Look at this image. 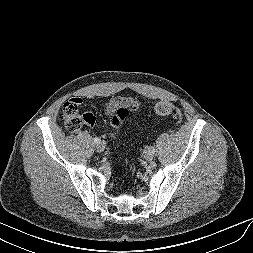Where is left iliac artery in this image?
Segmentation results:
<instances>
[{
  "instance_id": "obj_1",
  "label": "left iliac artery",
  "mask_w": 253,
  "mask_h": 253,
  "mask_svg": "<svg viewBox=\"0 0 253 253\" xmlns=\"http://www.w3.org/2000/svg\"><path fill=\"white\" fill-rule=\"evenodd\" d=\"M151 152L155 153V148L154 147H149L148 148Z\"/></svg>"
}]
</instances>
